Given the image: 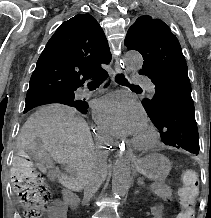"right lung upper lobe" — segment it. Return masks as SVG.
I'll return each mask as SVG.
<instances>
[{
    "label": "right lung upper lobe",
    "instance_id": "cb5924a9",
    "mask_svg": "<svg viewBox=\"0 0 211 218\" xmlns=\"http://www.w3.org/2000/svg\"><path fill=\"white\" fill-rule=\"evenodd\" d=\"M111 53L99 23L90 14H78L62 23L46 44L30 79L26 102L72 91L98 76Z\"/></svg>",
    "mask_w": 211,
    "mask_h": 218
}]
</instances>
